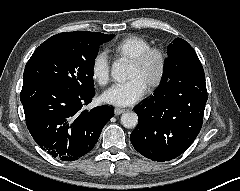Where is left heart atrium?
Instances as JSON below:
<instances>
[{"instance_id": "1", "label": "left heart atrium", "mask_w": 240, "mask_h": 191, "mask_svg": "<svg viewBox=\"0 0 240 191\" xmlns=\"http://www.w3.org/2000/svg\"><path fill=\"white\" fill-rule=\"evenodd\" d=\"M146 92V85L137 77L114 84L102 94V100L115 106H128L139 101Z\"/></svg>"}]
</instances>
